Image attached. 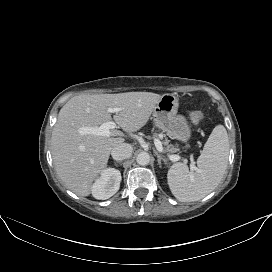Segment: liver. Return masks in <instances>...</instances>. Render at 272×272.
<instances>
[{
  "mask_svg": "<svg viewBox=\"0 0 272 272\" xmlns=\"http://www.w3.org/2000/svg\"><path fill=\"white\" fill-rule=\"evenodd\" d=\"M151 92L78 95L60 110L52 131L51 153L62 182L75 194L88 196L92 183L107 167L114 147L124 142V134L111 130L109 136L80 132L99 127L112 119L108 108H119L113 116L126 132H136L149 120L161 99Z\"/></svg>",
  "mask_w": 272,
  "mask_h": 272,
  "instance_id": "6515ba94",
  "label": "liver"
}]
</instances>
